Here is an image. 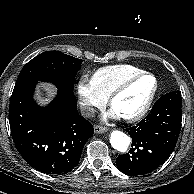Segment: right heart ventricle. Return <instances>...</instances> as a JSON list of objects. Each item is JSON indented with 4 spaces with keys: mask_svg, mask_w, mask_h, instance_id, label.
<instances>
[{
    "mask_svg": "<svg viewBox=\"0 0 194 194\" xmlns=\"http://www.w3.org/2000/svg\"><path fill=\"white\" fill-rule=\"evenodd\" d=\"M143 70L128 64L111 65L96 70L91 81L98 93L108 99L112 91L125 79Z\"/></svg>",
    "mask_w": 194,
    "mask_h": 194,
    "instance_id": "1",
    "label": "right heart ventricle"
}]
</instances>
